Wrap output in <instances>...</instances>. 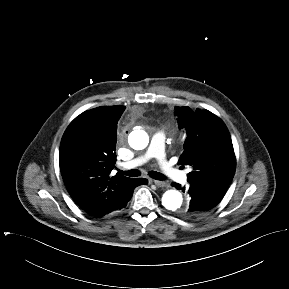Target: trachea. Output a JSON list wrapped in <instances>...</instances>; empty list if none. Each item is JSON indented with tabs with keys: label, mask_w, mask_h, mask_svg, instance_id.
Listing matches in <instances>:
<instances>
[{
	"label": "trachea",
	"mask_w": 289,
	"mask_h": 289,
	"mask_svg": "<svg viewBox=\"0 0 289 289\" xmlns=\"http://www.w3.org/2000/svg\"><path fill=\"white\" fill-rule=\"evenodd\" d=\"M119 172L123 175H127L130 177H137V176H140V174H141L140 171L137 169H132L129 171L119 170ZM149 175L151 178L156 179V180H164L165 179V176L163 174L156 172V171L149 172Z\"/></svg>",
	"instance_id": "1"
}]
</instances>
